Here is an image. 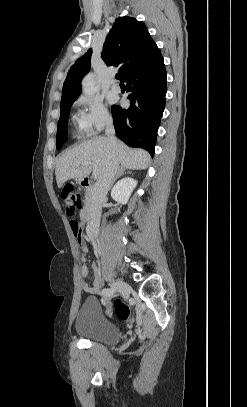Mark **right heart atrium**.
Segmentation results:
<instances>
[{"instance_id": "obj_1", "label": "right heart atrium", "mask_w": 247, "mask_h": 407, "mask_svg": "<svg viewBox=\"0 0 247 407\" xmlns=\"http://www.w3.org/2000/svg\"><path fill=\"white\" fill-rule=\"evenodd\" d=\"M75 106V121L83 136H93L111 123L107 107L97 97L81 96Z\"/></svg>"}]
</instances>
